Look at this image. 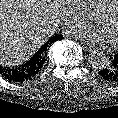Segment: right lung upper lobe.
<instances>
[{"mask_svg":"<svg viewBox=\"0 0 118 118\" xmlns=\"http://www.w3.org/2000/svg\"><path fill=\"white\" fill-rule=\"evenodd\" d=\"M54 38H51L50 40H48L35 54V56L38 58L39 56L43 55L47 48L49 47V45L53 42Z\"/></svg>","mask_w":118,"mask_h":118,"instance_id":"1","label":"right lung upper lobe"}]
</instances>
